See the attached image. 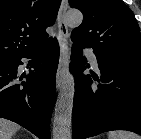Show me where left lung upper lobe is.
<instances>
[{"label":"left lung upper lobe","instance_id":"left-lung-upper-lobe-1","mask_svg":"<svg viewBox=\"0 0 141 139\" xmlns=\"http://www.w3.org/2000/svg\"><path fill=\"white\" fill-rule=\"evenodd\" d=\"M82 11V24L71 33L74 43L122 61L141 63V35L131 9L122 0H69Z\"/></svg>","mask_w":141,"mask_h":139}]
</instances>
